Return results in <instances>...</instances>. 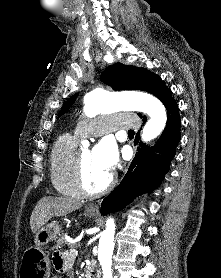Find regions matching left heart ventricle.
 <instances>
[{
  "label": "left heart ventricle",
  "mask_w": 221,
  "mask_h": 278,
  "mask_svg": "<svg viewBox=\"0 0 221 278\" xmlns=\"http://www.w3.org/2000/svg\"><path fill=\"white\" fill-rule=\"evenodd\" d=\"M83 176L86 186L90 190H97L105 185L110 172L102 169L93 159L92 152L83 149Z\"/></svg>",
  "instance_id": "1"
}]
</instances>
